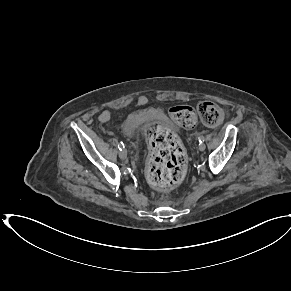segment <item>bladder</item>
Instances as JSON below:
<instances>
[{
	"mask_svg": "<svg viewBox=\"0 0 291 291\" xmlns=\"http://www.w3.org/2000/svg\"><path fill=\"white\" fill-rule=\"evenodd\" d=\"M144 122V117L141 116L128 117L124 121L123 129L128 134L140 132L142 130Z\"/></svg>",
	"mask_w": 291,
	"mask_h": 291,
	"instance_id": "1",
	"label": "bladder"
}]
</instances>
